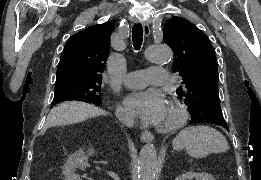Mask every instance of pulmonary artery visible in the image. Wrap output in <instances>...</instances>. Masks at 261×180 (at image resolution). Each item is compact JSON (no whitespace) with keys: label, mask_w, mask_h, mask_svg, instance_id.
Here are the masks:
<instances>
[{"label":"pulmonary artery","mask_w":261,"mask_h":180,"mask_svg":"<svg viewBox=\"0 0 261 180\" xmlns=\"http://www.w3.org/2000/svg\"><path fill=\"white\" fill-rule=\"evenodd\" d=\"M168 72L165 67L159 69H145L129 72L124 77L126 86H135V88H146V83L153 81L156 83H169Z\"/></svg>","instance_id":"pulmonary-artery-1"}]
</instances>
